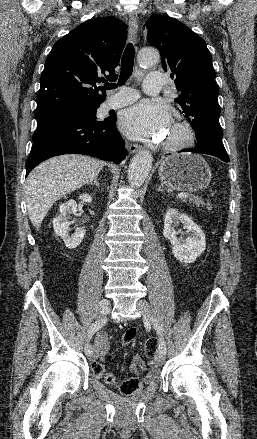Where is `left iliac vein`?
Returning a JSON list of instances; mask_svg holds the SVG:
<instances>
[{
  "mask_svg": "<svg viewBox=\"0 0 257 439\" xmlns=\"http://www.w3.org/2000/svg\"><path fill=\"white\" fill-rule=\"evenodd\" d=\"M137 310L144 315V321L149 322L151 309L149 303L146 300L137 301ZM156 361L158 365H162L165 361L164 355L159 352L156 356Z\"/></svg>",
  "mask_w": 257,
  "mask_h": 439,
  "instance_id": "left-iliac-vein-1",
  "label": "left iliac vein"
}]
</instances>
